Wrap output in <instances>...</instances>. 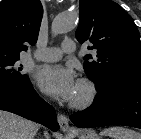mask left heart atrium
<instances>
[{"label":"left heart atrium","mask_w":141,"mask_h":139,"mask_svg":"<svg viewBox=\"0 0 141 139\" xmlns=\"http://www.w3.org/2000/svg\"><path fill=\"white\" fill-rule=\"evenodd\" d=\"M34 80L45 94L62 101L73 100L78 88L73 71L62 65L37 68Z\"/></svg>","instance_id":"39dd6f15"}]
</instances>
